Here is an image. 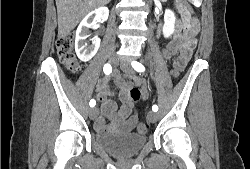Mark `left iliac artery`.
Instances as JSON below:
<instances>
[{"label":"left iliac artery","mask_w":250,"mask_h":169,"mask_svg":"<svg viewBox=\"0 0 250 169\" xmlns=\"http://www.w3.org/2000/svg\"><path fill=\"white\" fill-rule=\"evenodd\" d=\"M131 64H132V67H133L137 72H144V71H145V67H144L141 63H139V62H137V61H133ZM152 110H153L154 112H157V111H158V106H157V105H153V106H152Z\"/></svg>","instance_id":"1"}]
</instances>
